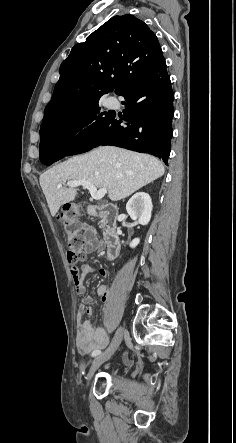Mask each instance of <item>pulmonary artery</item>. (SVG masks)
Wrapping results in <instances>:
<instances>
[{
    "mask_svg": "<svg viewBox=\"0 0 236 443\" xmlns=\"http://www.w3.org/2000/svg\"><path fill=\"white\" fill-rule=\"evenodd\" d=\"M106 105H107L108 107H114V106H115V101H114V99H112V98L107 99V101H106Z\"/></svg>",
    "mask_w": 236,
    "mask_h": 443,
    "instance_id": "1",
    "label": "pulmonary artery"
}]
</instances>
